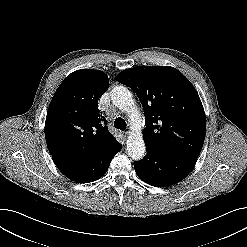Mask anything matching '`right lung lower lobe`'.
<instances>
[{"label":"right lung lower lobe","instance_id":"obj_1","mask_svg":"<svg viewBox=\"0 0 247 247\" xmlns=\"http://www.w3.org/2000/svg\"><path fill=\"white\" fill-rule=\"evenodd\" d=\"M122 148L116 143L97 157L83 162L69 161L53 157L58 169L69 179L78 183H88L101 178L110 165L111 160Z\"/></svg>","mask_w":247,"mask_h":247}]
</instances>
